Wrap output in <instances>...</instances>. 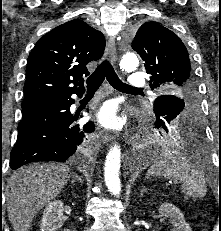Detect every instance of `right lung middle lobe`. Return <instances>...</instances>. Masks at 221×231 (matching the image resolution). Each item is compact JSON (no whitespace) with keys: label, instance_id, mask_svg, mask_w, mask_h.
<instances>
[{"label":"right lung middle lobe","instance_id":"obj_1","mask_svg":"<svg viewBox=\"0 0 221 231\" xmlns=\"http://www.w3.org/2000/svg\"><path fill=\"white\" fill-rule=\"evenodd\" d=\"M30 102H33V101H29V102L23 101L22 106H24V105H26V104H28Z\"/></svg>","mask_w":221,"mask_h":231}]
</instances>
